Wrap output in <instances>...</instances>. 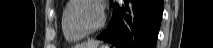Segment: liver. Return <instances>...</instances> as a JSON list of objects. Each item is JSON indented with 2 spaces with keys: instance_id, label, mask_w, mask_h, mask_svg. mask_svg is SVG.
<instances>
[{
  "instance_id": "obj_1",
  "label": "liver",
  "mask_w": 213,
  "mask_h": 48,
  "mask_svg": "<svg viewBox=\"0 0 213 48\" xmlns=\"http://www.w3.org/2000/svg\"><path fill=\"white\" fill-rule=\"evenodd\" d=\"M98 46L97 41H88L86 43H82L80 45H76L75 48H96Z\"/></svg>"
}]
</instances>
